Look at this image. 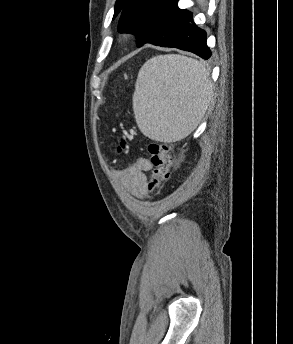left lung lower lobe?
<instances>
[{
  "label": "left lung lower lobe",
  "instance_id": "obj_1",
  "mask_svg": "<svg viewBox=\"0 0 293 344\" xmlns=\"http://www.w3.org/2000/svg\"><path fill=\"white\" fill-rule=\"evenodd\" d=\"M157 46L189 51L203 59L211 57V51L206 44V33L195 25L190 12H188L178 29L167 40Z\"/></svg>",
  "mask_w": 293,
  "mask_h": 344
}]
</instances>
